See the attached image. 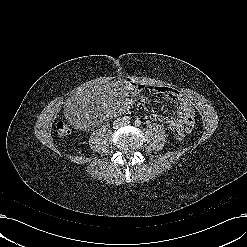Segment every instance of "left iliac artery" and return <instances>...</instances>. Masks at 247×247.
I'll list each match as a JSON object with an SVG mask.
<instances>
[{"label": "left iliac artery", "mask_w": 247, "mask_h": 247, "mask_svg": "<svg viewBox=\"0 0 247 247\" xmlns=\"http://www.w3.org/2000/svg\"><path fill=\"white\" fill-rule=\"evenodd\" d=\"M140 124H141L140 121H138V120L135 121V125L139 126Z\"/></svg>", "instance_id": "1"}]
</instances>
